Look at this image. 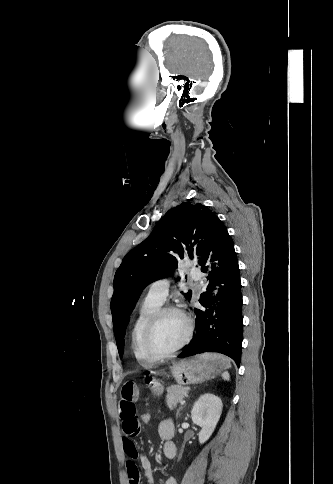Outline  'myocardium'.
<instances>
[{
	"label": "myocardium",
	"instance_id": "myocardium-1",
	"mask_svg": "<svg viewBox=\"0 0 333 484\" xmlns=\"http://www.w3.org/2000/svg\"><path fill=\"white\" fill-rule=\"evenodd\" d=\"M169 313H178L180 314L186 321L187 323V332L182 340V342L176 346L174 349H172L169 352L166 353H159L156 352L153 347H152V336L154 334L155 328L158 324V322L161 320V318ZM194 331V324L192 319L180 308L174 307V306H164L160 307L149 319L147 322L144 333H143V339H142V346L143 350L146 353L148 357L155 361L159 360H164L173 357L176 355L180 350H182L191 340L192 335Z\"/></svg>",
	"mask_w": 333,
	"mask_h": 484
}]
</instances>
